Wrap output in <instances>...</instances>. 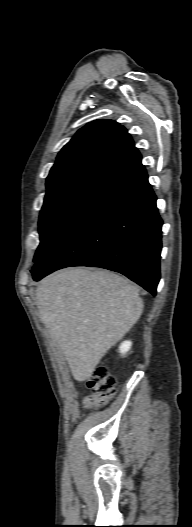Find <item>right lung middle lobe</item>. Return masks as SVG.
<instances>
[{
    "label": "right lung middle lobe",
    "mask_w": 192,
    "mask_h": 527,
    "mask_svg": "<svg viewBox=\"0 0 192 527\" xmlns=\"http://www.w3.org/2000/svg\"><path fill=\"white\" fill-rule=\"evenodd\" d=\"M106 183L102 179L84 178L47 189L39 219L40 245L34 262L47 254Z\"/></svg>",
    "instance_id": "dd1d6c3e"
}]
</instances>
